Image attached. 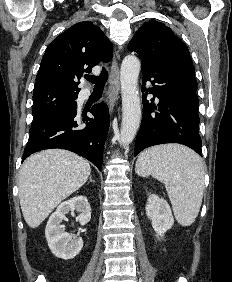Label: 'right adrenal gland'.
Masks as SVG:
<instances>
[{"label":"right adrenal gland","instance_id":"obj_1","mask_svg":"<svg viewBox=\"0 0 232 282\" xmlns=\"http://www.w3.org/2000/svg\"><path fill=\"white\" fill-rule=\"evenodd\" d=\"M90 182H94V180H92V177H91V176H90V180H89L88 184H89Z\"/></svg>","mask_w":232,"mask_h":282}]
</instances>
